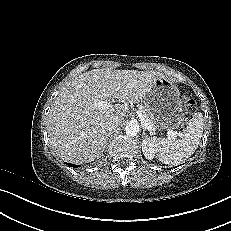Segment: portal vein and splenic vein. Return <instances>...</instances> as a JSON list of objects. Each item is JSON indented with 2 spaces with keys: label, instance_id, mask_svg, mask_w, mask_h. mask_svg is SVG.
Wrapping results in <instances>:
<instances>
[{
  "label": "portal vein and splenic vein",
  "instance_id": "18ae733b",
  "mask_svg": "<svg viewBox=\"0 0 231 231\" xmlns=\"http://www.w3.org/2000/svg\"><path fill=\"white\" fill-rule=\"evenodd\" d=\"M109 102L107 101H94L93 102V106L102 110V109H105L109 106ZM137 115L139 117V120L141 122V124L147 129V130H153V127L151 125H149L146 120H145V115L141 113V111H137ZM168 134L169 135H177L178 132L177 131H172V130H168Z\"/></svg>",
  "mask_w": 231,
  "mask_h": 231
}]
</instances>
